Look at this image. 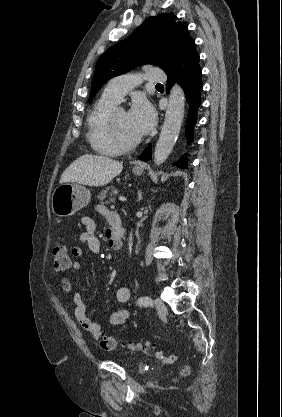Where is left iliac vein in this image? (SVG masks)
Masks as SVG:
<instances>
[{"mask_svg": "<svg viewBox=\"0 0 282 417\" xmlns=\"http://www.w3.org/2000/svg\"><path fill=\"white\" fill-rule=\"evenodd\" d=\"M154 305L160 314H166L167 308L160 298L154 300Z\"/></svg>", "mask_w": 282, "mask_h": 417, "instance_id": "1", "label": "left iliac vein"}]
</instances>
